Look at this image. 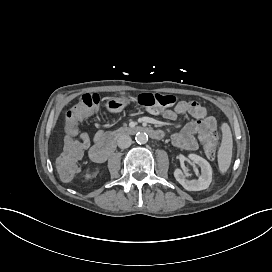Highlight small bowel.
<instances>
[{
	"label": "small bowel",
	"instance_id": "obj_1",
	"mask_svg": "<svg viewBox=\"0 0 272 272\" xmlns=\"http://www.w3.org/2000/svg\"><path fill=\"white\" fill-rule=\"evenodd\" d=\"M158 112V111H151ZM187 114L192 117L181 129V131L173 134V144L184 150H197L199 144L195 135L201 136L205 131L216 132L218 122L215 117L208 116L207 109L196 101L182 100L175 104L172 109L164 111L163 115L168 120H176L178 115ZM83 144V150L90 149L91 140L86 132H82L78 136Z\"/></svg>",
	"mask_w": 272,
	"mask_h": 272
}]
</instances>
